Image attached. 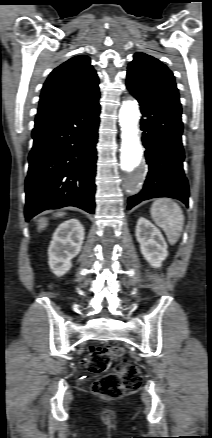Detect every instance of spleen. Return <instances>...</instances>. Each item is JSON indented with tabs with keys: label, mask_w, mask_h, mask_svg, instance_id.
<instances>
[{
	"label": "spleen",
	"mask_w": 212,
	"mask_h": 438,
	"mask_svg": "<svg viewBox=\"0 0 212 438\" xmlns=\"http://www.w3.org/2000/svg\"><path fill=\"white\" fill-rule=\"evenodd\" d=\"M153 221L163 229L171 245L178 241L184 225L180 206L169 198L156 199L150 209Z\"/></svg>",
	"instance_id": "spleen-1"
}]
</instances>
